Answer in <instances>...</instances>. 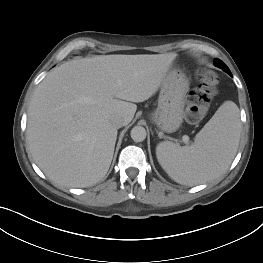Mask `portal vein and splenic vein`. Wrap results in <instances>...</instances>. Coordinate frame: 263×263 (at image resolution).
<instances>
[{
    "mask_svg": "<svg viewBox=\"0 0 263 263\" xmlns=\"http://www.w3.org/2000/svg\"><path fill=\"white\" fill-rule=\"evenodd\" d=\"M182 140H183L185 143H187V142H189V137H188L187 135H184V136L182 137Z\"/></svg>",
    "mask_w": 263,
    "mask_h": 263,
    "instance_id": "portal-vein-and-splenic-vein-1",
    "label": "portal vein and splenic vein"
}]
</instances>
